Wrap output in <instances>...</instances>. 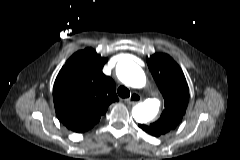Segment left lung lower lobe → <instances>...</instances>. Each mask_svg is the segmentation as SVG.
<instances>
[{
    "label": "left lung lower lobe",
    "instance_id": "left-lung-lower-lobe-1",
    "mask_svg": "<svg viewBox=\"0 0 240 160\" xmlns=\"http://www.w3.org/2000/svg\"><path fill=\"white\" fill-rule=\"evenodd\" d=\"M139 126H141L142 130H144L145 132L149 133L152 136H155V137H159L160 136L157 132H155L154 130L149 128L147 125L139 124Z\"/></svg>",
    "mask_w": 240,
    "mask_h": 160
}]
</instances>
